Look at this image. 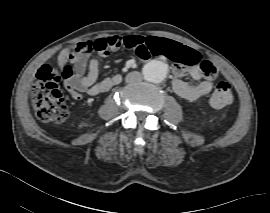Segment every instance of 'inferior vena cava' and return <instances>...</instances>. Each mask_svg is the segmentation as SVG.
<instances>
[{"mask_svg": "<svg viewBox=\"0 0 270 213\" xmlns=\"http://www.w3.org/2000/svg\"><path fill=\"white\" fill-rule=\"evenodd\" d=\"M141 80H142V76L137 71L130 72L126 76V82L128 83L139 82Z\"/></svg>", "mask_w": 270, "mask_h": 213, "instance_id": "1", "label": "inferior vena cava"}]
</instances>
